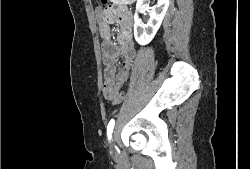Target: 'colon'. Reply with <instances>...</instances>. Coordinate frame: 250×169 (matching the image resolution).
Here are the masks:
<instances>
[{
    "label": "colon",
    "mask_w": 250,
    "mask_h": 169,
    "mask_svg": "<svg viewBox=\"0 0 250 169\" xmlns=\"http://www.w3.org/2000/svg\"><path fill=\"white\" fill-rule=\"evenodd\" d=\"M98 3H107L108 0H97ZM100 50H105V41H100ZM107 95H117V97H110V102L112 104H122L125 97V89H120V92L117 93H107Z\"/></svg>",
    "instance_id": "colon-1"
}]
</instances>
